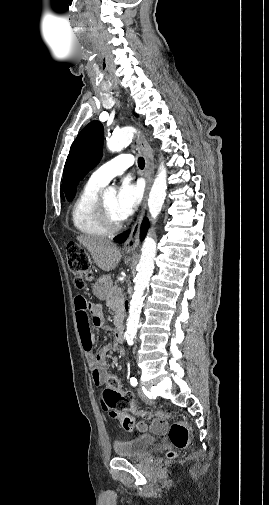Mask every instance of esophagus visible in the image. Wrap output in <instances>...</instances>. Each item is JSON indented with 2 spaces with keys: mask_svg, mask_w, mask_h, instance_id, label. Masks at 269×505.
Returning a JSON list of instances; mask_svg holds the SVG:
<instances>
[{
  "mask_svg": "<svg viewBox=\"0 0 269 505\" xmlns=\"http://www.w3.org/2000/svg\"><path fill=\"white\" fill-rule=\"evenodd\" d=\"M136 145L138 150L143 154L145 158V179H146V187H145V192H144V198L142 201L141 205V210L139 212V215L137 217V220L133 224L130 234L126 240V242L123 245V250L126 253H133L136 250V247L139 242L140 238V229H141V224L143 221V217L145 214L146 210V203L148 199V194L153 182V177H154V160H153V155L151 152V149L145 139V137L142 134H138L136 138Z\"/></svg>",
  "mask_w": 269,
  "mask_h": 505,
  "instance_id": "obj_1",
  "label": "esophagus"
}]
</instances>
